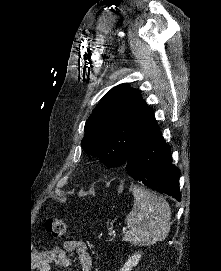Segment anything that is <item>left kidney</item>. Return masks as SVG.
Wrapping results in <instances>:
<instances>
[{
  "label": "left kidney",
  "instance_id": "left-kidney-1",
  "mask_svg": "<svg viewBox=\"0 0 221 271\" xmlns=\"http://www.w3.org/2000/svg\"><path fill=\"white\" fill-rule=\"evenodd\" d=\"M141 253H134L131 257H128L126 263L121 267L120 271H131L132 267H135L139 263Z\"/></svg>",
  "mask_w": 221,
  "mask_h": 271
}]
</instances>
